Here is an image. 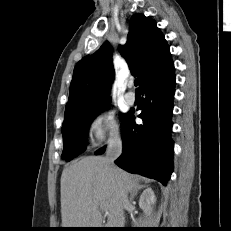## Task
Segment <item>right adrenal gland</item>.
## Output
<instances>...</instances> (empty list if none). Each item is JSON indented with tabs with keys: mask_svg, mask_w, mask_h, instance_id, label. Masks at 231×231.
<instances>
[{
	"mask_svg": "<svg viewBox=\"0 0 231 231\" xmlns=\"http://www.w3.org/2000/svg\"><path fill=\"white\" fill-rule=\"evenodd\" d=\"M144 187H145L144 185H138L131 193L130 200H133V198L137 195L138 191Z\"/></svg>",
	"mask_w": 231,
	"mask_h": 231,
	"instance_id": "1",
	"label": "right adrenal gland"
}]
</instances>
